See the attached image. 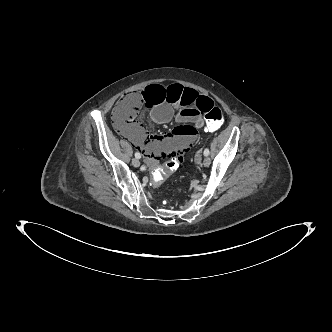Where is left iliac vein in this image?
<instances>
[{
	"label": "left iliac vein",
	"mask_w": 332,
	"mask_h": 332,
	"mask_svg": "<svg viewBox=\"0 0 332 332\" xmlns=\"http://www.w3.org/2000/svg\"><path fill=\"white\" fill-rule=\"evenodd\" d=\"M211 164V159L209 157H205L203 160V165L208 167Z\"/></svg>",
	"instance_id": "left-iliac-vein-1"
}]
</instances>
